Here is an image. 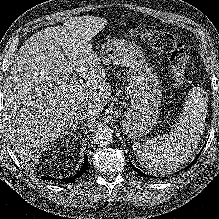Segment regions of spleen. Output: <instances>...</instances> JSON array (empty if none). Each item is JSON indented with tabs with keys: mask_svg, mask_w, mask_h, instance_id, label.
Segmentation results:
<instances>
[{
	"mask_svg": "<svg viewBox=\"0 0 219 219\" xmlns=\"http://www.w3.org/2000/svg\"><path fill=\"white\" fill-rule=\"evenodd\" d=\"M203 93L201 88L190 91L179 120L169 134L133 144L135 158L149 172L170 174L181 167L197 148L207 112Z\"/></svg>",
	"mask_w": 219,
	"mask_h": 219,
	"instance_id": "1",
	"label": "spleen"
}]
</instances>
